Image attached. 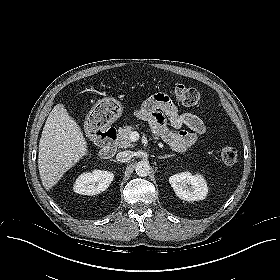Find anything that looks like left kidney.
<instances>
[{
	"instance_id": "left-kidney-1",
	"label": "left kidney",
	"mask_w": 280,
	"mask_h": 280,
	"mask_svg": "<svg viewBox=\"0 0 280 280\" xmlns=\"http://www.w3.org/2000/svg\"><path fill=\"white\" fill-rule=\"evenodd\" d=\"M169 183L175 194L185 201L204 200L208 193V187L202 175H192L190 172H181L172 175Z\"/></svg>"
}]
</instances>
